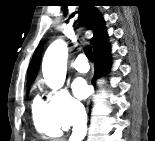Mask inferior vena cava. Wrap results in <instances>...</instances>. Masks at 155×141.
Masks as SVG:
<instances>
[{"label": "inferior vena cava", "instance_id": "602c4592", "mask_svg": "<svg viewBox=\"0 0 155 141\" xmlns=\"http://www.w3.org/2000/svg\"><path fill=\"white\" fill-rule=\"evenodd\" d=\"M87 115L84 110L79 113L78 120L73 126V132L69 141H81L86 135Z\"/></svg>", "mask_w": 155, "mask_h": 141}]
</instances>
